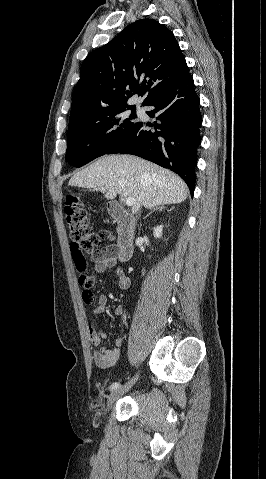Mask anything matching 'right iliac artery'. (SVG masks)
Wrapping results in <instances>:
<instances>
[{
  "label": "right iliac artery",
  "mask_w": 266,
  "mask_h": 479,
  "mask_svg": "<svg viewBox=\"0 0 266 479\" xmlns=\"http://www.w3.org/2000/svg\"><path fill=\"white\" fill-rule=\"evenodd\" d=\"M120 386V384L118 382H114L112 383V385L110 386V389L113 390V389H116Z\"/></svg>",
  "instance_id": "right-iliac-artery-1"
}]
</instances>
